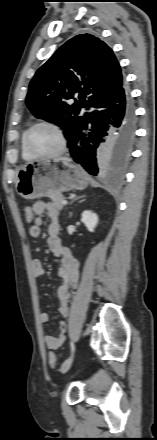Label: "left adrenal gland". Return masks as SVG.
<instances>
[{
  "instance_id": "1",
  "label": "left adrenal gland",
  "mask_w": 157,
  "mask_h": 440,
  "mask_svg": "<svg viewBox=\"0 0 157 440\" xmlns=\"http://www.w3.org/2000/svg\"><path fill=\"white\" fill-rule=\"evenodd\" d=\"M84 197H85V195H83V196H79V197H76V198L73 199V201H72L71 203H73L74 201H76V200H78V199L84 198Z\"/></svg>"
}]
</instances>
